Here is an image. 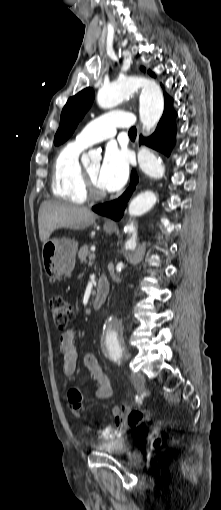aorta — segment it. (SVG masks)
Instances as JSON below:
<instances>
[{"instance_id": "aorta-1", "label": "aorta", "mask_w": 221, "mask_h": 510, "mask_svg": "<svg viewBox=\"0 0 221 510\" xmlns=\"http://www.w3.org/2000/svg\"><path fill=\"white\" fill-rule=\"evenodd\" d=\"M139 88L142 89L140 95V120L143 129L150 131L160 120L164 110V99L160 87L152 80L138 76H129L120 78L112 83L103 85L97 95V102L101 108L110 109L120 104L124 99L132 95ZM98 157L95 151H89L83 157V162L88 163L90 159ZM138 163L140 169L149 177L160 179L163 177L165 167L155 154L146 148H142L138 153ZM157 201L156 195L152 191H144L133 198L129 204V215L140 216L153 208ZM125 230L131 235L126 241L127 250H135L137 229L133 224L125 227ZM122 334L119 322L115 318L107 317L101 337V344L104 349H117L121 346Z\"/></svg>"}]
</instances>
